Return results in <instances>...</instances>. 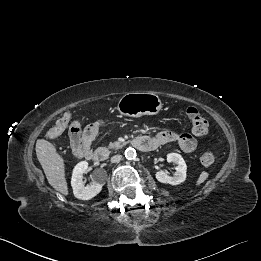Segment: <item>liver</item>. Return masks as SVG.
Segmentation results:
<instances>
[{
	"mask_svg": "<svg viewBox=\"0 0 261 261\" xmlns=\"http://www.w3.org/2000/svg\"><path fill=\"white\" fill-rule=\"evenodd\" d=\"M36 155L46 175L48 183L63 195H68V186L65 178V164L55 146L45 140L36 142Z\"/></svg>",
	"mask_w": 261,
	"mask_h": 261,
	"instance_id": "1",
	"label": "liver"
}]
</instances>
